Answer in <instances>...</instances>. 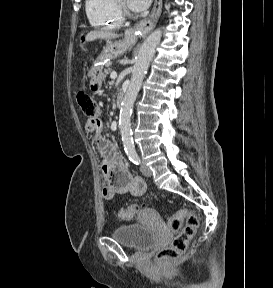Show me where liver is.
Instances as JSON below:
<instances>
[{"mask_svg": "<svg viewBox=\"0 0 273 288\" xmlns=\"http://www.w3.org/2000/svg\"><path fill=\"white\" fill-rule=\"evenodd\" d=\"M119 35L115 34L111 31H107V30H93L90 31L89 33H87V35L85 36V41L89 42V41H94L96 39H105V40H109V39H115L118 38Z\"/></svg>", "mask_w": 273, "mask_h": 288, "instance_id": "obj_1", "label": "liver"}]
</instances>
